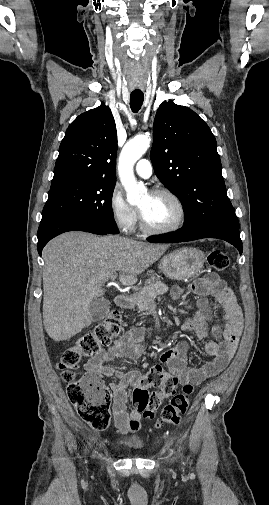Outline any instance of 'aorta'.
Wrapping results in <instances>:
<instances>
[{
	"instance_id": "762f6f07",
	"label": "aorta",
	"mask_w": 269,
	"mask_h": 505,
	"mask_svg": "<svg viewBox=\"0 0 269 505\" xmlns=\"http://www.w3.org/2000/svg\"><path fill=\"white\" fill-rule=\"evenodd\" d=\"M150 141V136L147 134L135 136L125 144L119 157V177L130 204L139 203L147 195L146 187L137 183L133 167L149 148Z\"/></svg>"
}]
</instances>
